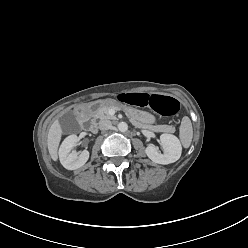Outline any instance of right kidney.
I'll use <instances>...</instances> for the list:
<instances>
[{"mask_svg": "<svg viewBox=\"0 0 248 248\" xmlns=\"http://www.w3.org/2000/svg\"><path fill=\"white\" fill-rule=\"evenodd\" d=\"M79 138L70 135L62 142L59 149L60 162L68 170H76L82 167L89 159V151L83 150L80 155L72 149L77 145Z\"/></svg>", "mask_w": 248, "mask_h": 248, "instance_id": "1", "label": "right kidney"}]
</instances>
